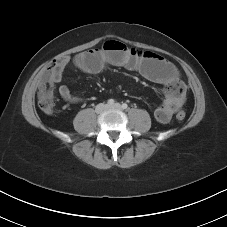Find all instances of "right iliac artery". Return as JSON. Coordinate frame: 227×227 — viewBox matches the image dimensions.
I'll use <instances>...</instances> for the list:
<instances>
[{
	"label": "right iliac artery",
	"mask_w": 227,
	"mask_h": 227,
	"mask_svg": "<svg viewBox=\"0 0 227 227\" xmlns=\"http://www.w3.org/2000/svg\"><path fill=\"white\" fill-rule=\"evenodd\" d=\"M109 105H113L115 103V101L113 99H109L107 102Z\"/></svg>",
	"instance_id": "82829eb1"
}]
</instances>
